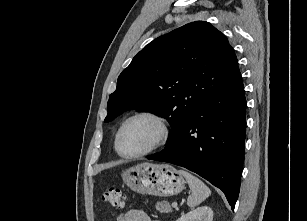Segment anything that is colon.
<instances>
[{"mask_svg":"<svg viewBox=\"0 0 307 221\" xmlns=\"http://www.w3.org/2000/svg\"><path fill=\"white\" fill-rule=\"evenodd\" d=\"M101 198L104 202L114 207L121 208L124 206L125 195L123 191L117 187H110L105 190Z\"/></svg>","mask_w":307,"mask_h":221,"instance_id":"colon-1","label":"colon"}]
</instances>
